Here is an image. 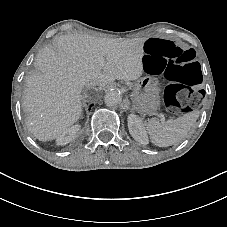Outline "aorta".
<instances>
[{
    "mask_svg": "<svg viewBox=\"0 0 227 227\" xmlns=\"http://www.w3.org/2000/svg\"><path fill=\"white\" fill-rule=\"evenodd\" d=\"M104 102L107 106H117L122 102V96L118 91H109L104 96Z\"/></svg>",
    "mask_w": 227,
    "mask_h": 227,
    "instance_id": "1",
    "label": "aorta"
}]
</instances>
